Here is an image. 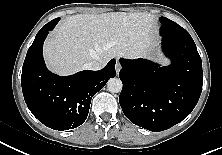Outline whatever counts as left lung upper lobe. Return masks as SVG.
Segmentation results:
<instances>
[{
  "label": "left lung upper lobe",
  "instance_id": "5c2ea615",
  "mask_svg": "<svg viewBox=\"0 0 222 155\" xmlns=\"http://www.w3.org/2000/svg\"><path fill=\"white\" fill-rule=\"evenodd\" d=\"M160 21L162 23V27L160 29L161 35L190 36L185 29L168 18L161 17Z\"/></svg>",
  "mask_w": 222,
  "mask_h": 155
}]
</instances>
